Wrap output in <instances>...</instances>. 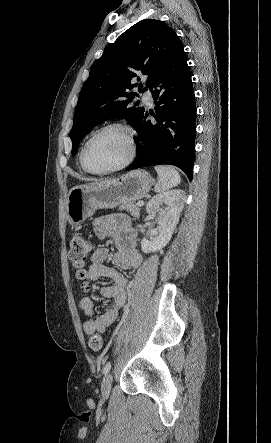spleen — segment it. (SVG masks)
Masks as SVG:
<instances>
[{
	"label": "spleen",
	"mask_w": 271,
	"mask_h": 443,
	"mask_svg": "<svg viewBox=\"0 0 271 443\" xmlns=\"http://www.w3.org/2000/svg\"><path fill=\"white\" fill-rule=\"evenodd\" d=\"M158 174L157 184L154 188L155 192H165V190H171L175 188L181 182V178L172 166H156L155 168Z\"/></svg>",
	"instance_id": "obj_1"
}]
</instances>
